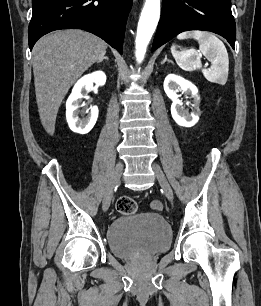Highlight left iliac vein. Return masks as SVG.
<instances>
[{"label":"left iliac vein","instance_id":"4c4485c4","mask_svg":"<svg viewBox=\"0 0 261 306\" xmlns=\"http://www.w3.org/2000/svg\"><path fill=\"white\" fill-rule=\"evenodd\" d=\"M152 168L155 172V175L157 177V180L160 184V186L162 187L167 199L169 201H173V191L172 188L167 180V178L165 177L163 171L161 170L160 166L156 163H153Z\"/></svg>","mask_w":261,"mask_h":306}]
</instances>
